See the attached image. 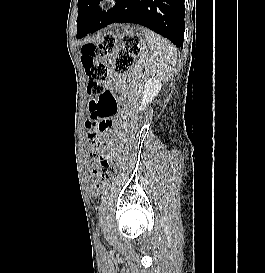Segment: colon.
<instances>
[{
    "label": "colon",
    "instance_id": "5ec220e1",
    "mask_svg": "<svg viewBox=\"0 0 265 273\" xmlns=\"http://www.w3.org/2000/svg\"><path fill=\"white\" fill-rule=\"evenodd\" d=\"M139 52V38L135 35H126L119 49H117V38L112 34L104 35L98 45L88 44L82 48V63L88 77L87 91L90 96L86 127L92 141L90 147H96L92 154L93 172L100 180V183L95 186L96 191L101 190L102 184L114 171L112 160L106 152H111L110 126L117 114L116 99L103 86L108 69L102 59L115 53L116 71L125 72L134 65Z\"/></svg>",
    "mask_w": 265,
    "mask_h": 273
}]
</instances>
